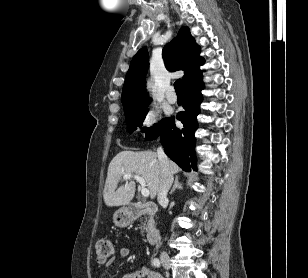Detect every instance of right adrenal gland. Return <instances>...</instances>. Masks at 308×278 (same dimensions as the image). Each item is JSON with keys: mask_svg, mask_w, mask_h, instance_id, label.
Wrapping results in <instances>:
<instances>
[{"mask_svg": "<svg viewBox=\"0 0 308 278\" xmlns=\"http://www.w3.org/2000/svg\"><path fill=\"white\" fill-rule=\"evenodd\" d=\"M182 188H183V184L179 182V176H176L174 185L169 194L172 195L176 189H182Z\"/></svg>", "mask_w": 308, "mask_h": 278, "instance_id": "obj_1", "label": "right adrenal gland"}]
</instances>
